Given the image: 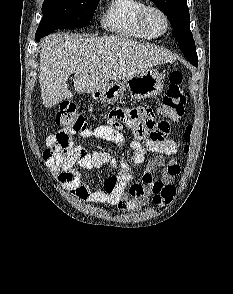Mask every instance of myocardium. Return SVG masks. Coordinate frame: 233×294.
Returning <instances> with one entry per match:
<instances>
[{"label":"myocardium","instance_id":"obj_1","mask_svg":"<svg viewBox=\"0 0 233 294\" xmlns=\"http://www.w3.org/2000/svg\"><path fill=\"white\" fill-rule=\"evenodd\" d=\"M152 15H157L159 16L163 23H164V28L162 31H156L150 22V17ZM140 21L142 26L147 30L151 35L154 37H160L165 35L169 29H170V21L167 16V14L158 6H153V5H147L141 12L140 14Z\"/></svg>","mask_w":233,"mask_h":294}]
</instances>
